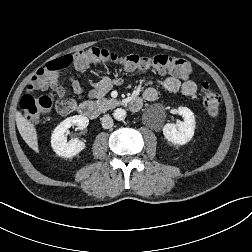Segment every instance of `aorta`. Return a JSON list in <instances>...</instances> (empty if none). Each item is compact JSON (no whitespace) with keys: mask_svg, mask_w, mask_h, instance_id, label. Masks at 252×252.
Returning <instances> with one entry per match:
<instances>
[{"mask_svg":"<svg viewBox=\"0 0 252 252\" xmlns=\"http://www.w3.org/2000/svg\"><path fill=\"white\" fill-rule=\"evenodd\" d=\"M113 116L116 120H123L126 117V111L122 108H117L114 111Z\"/></svg>","mask_w":252,"mask_h":252,"instance_id":"1","label":"aorta"}]
</instances>
